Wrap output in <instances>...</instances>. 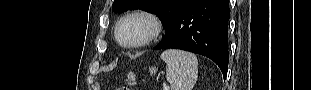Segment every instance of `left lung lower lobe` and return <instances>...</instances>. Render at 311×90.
<instances>
[{
	"instance_id": "obj_1",
	"label": "left lung lower lobe",
	"mask_w": 311,
	"mask_h": 90,
	"mask_svg": "<svg viewBox=\"0 0 311 90\" xmlns=\"http://www.w3.org/2000/svg\"><path fill=\"white\" fill-rule=\"evenodd\" d=\"M229 0H197L176 19L153 49H181L213 60L226 78L228 70Z\"/></svg>"
}]
</instances>
